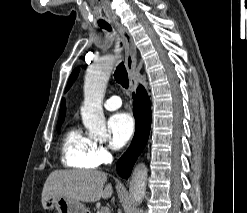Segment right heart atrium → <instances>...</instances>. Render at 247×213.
<instances>
[{
    "instance_id": "1",
    "label": "right heart atrium",
    "mask_w": 247,
    "mask_h": 213,
    "mask_svg": "<svg viewBox=\"0 0 247 213\" xmlns=\"http://www.w3.org/2000/svg\"><path fill=\"white\" fill-rule=\"evenodd\" d=\"M92 155L97 166L107 164L111 160V154L107 147L98 142H94Z\"/></svg>"
}]
</instances>
